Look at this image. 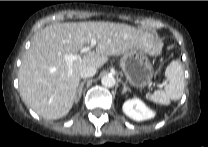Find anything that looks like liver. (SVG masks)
I'll use <instances>...</instances> for the list:
<instances>
[{"label": "liver", "mask_w": 208, "mask_h": 147, "mask_svg": "<svg viewBox=\"0 0 208 147\" xmlns=\"http://www.w3.org/2000/svg\"><path fill=\"white\" fill-rule=\"evenodd\" d=\"M96 40L71 66L66 54L78 55ZM161 42L151 33L126 24L111 22L55 23L38 32L23 56L19 68V90L24 103L46 119H59L73 106L80 82L79 72L86 66L101 68L108 56L124 55L140 49L150 55L159 53Z\"/></svg>", "instance_id": "liver-1"}]
</instances>
